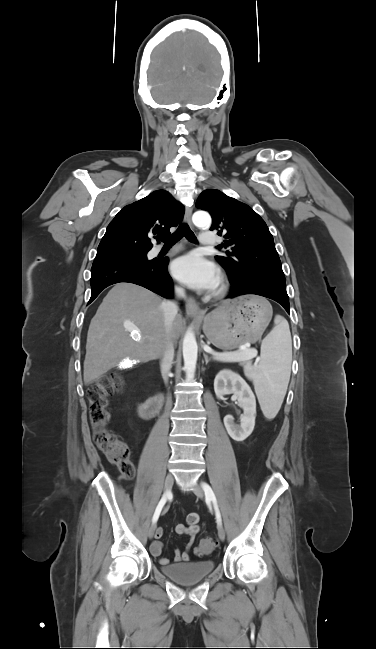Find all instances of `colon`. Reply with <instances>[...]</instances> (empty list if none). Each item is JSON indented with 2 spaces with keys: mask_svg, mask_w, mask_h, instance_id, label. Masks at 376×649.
Masks as SVG:
<instances>
[{
  "mask_svg": "<svg viewBox=\"0 0 376 649\" xmlns=\"http://www.w3.org/2000/svg\"><path fill=\"white\" fill-rule=\"evenodd\" d=\"M122 380L117 376H106L91 385L86 391L89 403V417L93 428V439L97 447L106 455L110 462L116 464L124 478L131 479L135 475V467L129 458V448L116 434L107 429L109 413L107 399L119 391ZM196 516L191 518L195 521ZM216 545L212 538H203L196 548L199 555L209 553Z\"/></svg>",
  "mask_w": 376,
  "mask_h": 649,
  "instance_id": "colon-1",
  "label": "colon"
}]
</instances>
